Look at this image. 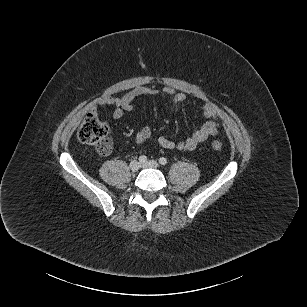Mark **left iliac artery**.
Returning <instances> with one entry per match:
<instances>
[{
    "label": "left iliac artery",
    "mask_w": 307,
    "mask_h": 307,
    "mask_svg": "<svg viewBox=\"0 0 307 307\" xmlns=\"http://www.w3.org/2000/svg\"><path fill=\"white\" fill-rule=\"evenodd\" d=\"M159 163H160L161 165H166V164H167V159L164 158V157H161V158L159 159Z\"/></svg>",
    "instance_id": "obj_1"
}]
</instances>
